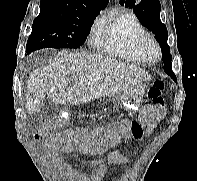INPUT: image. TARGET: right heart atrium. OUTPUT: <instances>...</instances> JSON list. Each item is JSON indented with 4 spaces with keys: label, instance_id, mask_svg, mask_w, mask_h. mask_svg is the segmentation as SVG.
Listing matches in <instances>:
<instances>
[{
    "label": "right heart atrium",
    "instance_id": "right-heart-atrium-1",
    "mask_svg": "<svg viewBox=\"0 0 197 181\" xmlns=\"http://www.w3.org/2000/svg\"><path fill=\"white\" fill-rule=\"evenodd\" d=\"M100 20H96L94 25H93V30H96L98 24H99Z\"/></svg>",
    "mask_w": 197,
    "mask_h": 181
}]
</instances>
